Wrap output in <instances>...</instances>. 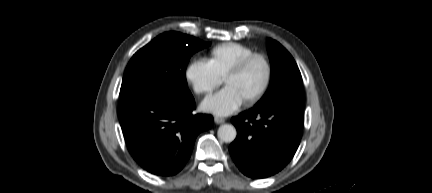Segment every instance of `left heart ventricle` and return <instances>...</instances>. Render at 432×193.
I'll list each match as a JSON object with an SVG mask.
<instances>
[{"label": "left heart ventricle", "instance_id": "b2bd125f", "mask_svg": "<svg viewBox=\"0 0 432 193\" xmlns=\"http://www.w3.org/2000/svg\"><path fill=\"white\" fill-rule=\"evenodd\" d=\"M266 70L262 61H255L251 67L229 81V87L234 89L241 97L249 98L256 94L262 87Z\"/></svg>", "mask_w": 432, "mask_h": 193}]
</instances>
